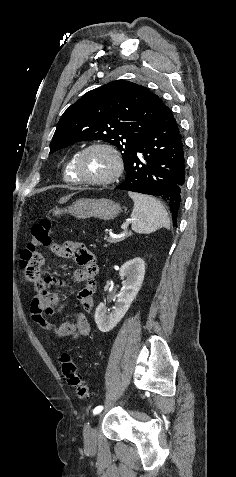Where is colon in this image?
Returning a JSON list of instances; mask_svg holds the SVG:
<instances>
[{"label": "colon", "mask_w": 236, "mask_h": 477, "mask_svg": "<svg viewBox=\"0 0 236 477\" xmlns=\"http://www.w3.org/2000/svg\"><path fill=\"white\" fill-rule=\"evenodd\" d=\"M51 242V222L48 219H43L32 226L31 237L21 253L22 266L25 269L26 277L33 283L36 291L41 288L39 282L42 280L43 254L41 247L49 246ZM60 365L67 383L75 389L78 397L84 400L91 399L90 387L69 353L61 355Z\"/></svg>", "instance_id": "obj_1"}]
</instances>
